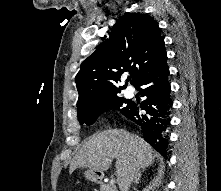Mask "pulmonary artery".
<instances>
[{"instance_id":"obj_1","label":"pulmonary artery","mask_w":221,"mask_h":191,"mask_svg":"<svg viewBox=\"0 0 221 191\" xmlns=\"http://www.w3.org/2000/svg\"><path fill=\"white\" fill-rule=\"evenodd\" d=\"M125 96H126L127 98L133 97V96H134V91H133V89H131V88L126 89V90H125Z\"/></svg>"}]
</instances>
